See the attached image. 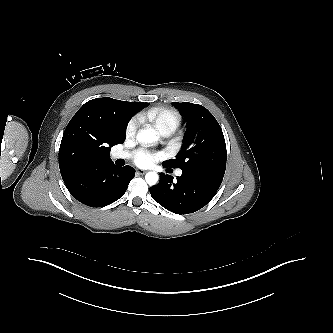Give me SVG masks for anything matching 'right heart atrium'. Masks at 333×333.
<instances>
[{
	"label": "right heart atrium",
	"instance_id": "1",
	"mask_svg": "<svg viewBox=\"0 0 333 333\" xmlns=\"http://www.w3.org/2000/svg\"><path fill=\"white\" fill-rule=\"evenodd\" d=\"M139 125H140V118L138 116H134L129 120L126 126L127 138H133L136 135Z\"/></svg>",
	"mask_w": 333,
	"mask_h": 333
}]
</instances>
